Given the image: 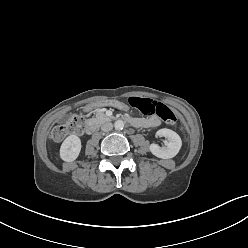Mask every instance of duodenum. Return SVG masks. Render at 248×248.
<instances>
[{"label": "duodenum", "mask_w": 248, "mask_h": 248, "mask_svg": "<svg viewBox=\"0 0 248 248\" xmlns=\"http://www.w3.org/2000/svg\"><path fill=\"white\" fill-rule=\"evenodd\" d=\"M127 122L133 126H137L139 124L138 119L128 118ZM96 128H97V123L95 121H89L85 125V132L87 134H91L96 130Z\"/></svg>", "instance_id": "duodenum-1"}]
</instances>
